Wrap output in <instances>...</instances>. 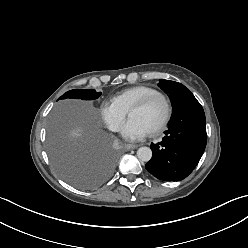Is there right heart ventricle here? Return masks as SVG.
<instances>
[{"label":"right heart ventricle","mask_w":248,"mask_h":248,"mask_svg":"<svg viewBox=\"0 0 248 248\" xmlns=\"http://www.w3.org/2000/svg\"><path fill=\"white\" fill-rule=\"evenodd\" d=\"M156 92L158 91L151 86H132L115 94L112 97V101L128 112L133 104Z\"/></svg>","instance_id":"right-heart-ventricle-1"}]
</instances>
